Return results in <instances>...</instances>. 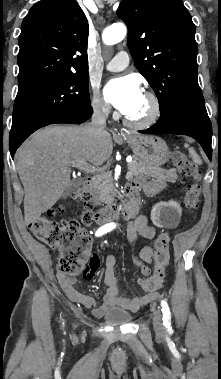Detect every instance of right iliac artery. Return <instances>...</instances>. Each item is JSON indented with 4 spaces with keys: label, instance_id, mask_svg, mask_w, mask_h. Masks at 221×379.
Wrapping results in <instances>:
<instances>
[{
    "label": "right iliac artery",
    "instance_id": "right-iliac-artery-1",
    "mask_svg": "<svg viewBox=\"0 0 221 379\" xmlns=\"http://www.w3.org/2000/svg\"><path fill=\"white\" fill-rule=\"evenodd\" d=\"M115 227L116 225L114 223L106 224L96 231L95 236H102L103 234H106L107 232L113 230Z\"/></svg>",
    "mask_w": 221,
    "mask_h": 379
}]
</instances>
